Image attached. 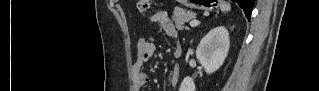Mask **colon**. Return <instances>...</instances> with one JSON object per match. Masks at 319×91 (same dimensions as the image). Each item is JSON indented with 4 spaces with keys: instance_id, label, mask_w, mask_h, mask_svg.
Returning a JSON list of instances; mask_svg holds the SVG:
<instances>
[{
    "instance_id": "colon-1",
    "label": "colon",
    "mask_w": 319,
    "mask_h": 91,
    "mask_svg": "<svg viewBox=\"0 0 319 91\" xmlns=\"http://www.w3.org/2000/svg\"><path fill=\"white\" fill-rule=\"evenodd\" d=\"M151 2L148 0H140L138 1V10L140 13H146L150 9Z\"/></svg>"
}]
</instances>
